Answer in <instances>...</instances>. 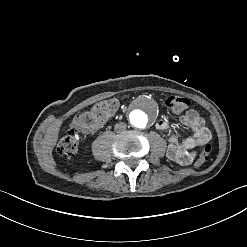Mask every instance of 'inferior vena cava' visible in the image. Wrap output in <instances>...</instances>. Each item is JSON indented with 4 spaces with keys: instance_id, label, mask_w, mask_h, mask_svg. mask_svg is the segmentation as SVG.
Instances as JSON below:
<instances>
[{
    "instance_id": "obj_1",
    "label": "inferior vena cava",
    "mask_w": 247,
    "mask_h": 247,
    "mask_svg": "<svg viewBox=\"0 0 247 247\" xmlns=\"http://www.w3.org/2000/svg\"><path fill=\"white\" fill-rule=\"evenodd\" d=\"M127 125L123 122L117 123L114 127L115 131L120 133L126 130Z\"/></svg>"
}]
</instances>
